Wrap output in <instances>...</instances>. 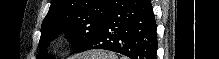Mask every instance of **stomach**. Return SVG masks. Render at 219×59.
<instances>
[{
	"label": "stomach",
	"instance_id": "obj_1",
	"mask_svg": "<svg viewBox=\"0 0 219 59\" xmlns=\"http://www.w3.org/2000/svg\"><path fill=\"white\" fill-rule=\"evenodd\" d=\"M92 54H93L92 56H96V57H98V56L100 55V54H98L97 52H92ZM86 56L89 57L90 55L87 54ZM90 57H91V56H90Z\"/></svg>",
	"mask_w": 219,
	"mask_h": 59
}]
</instances>
